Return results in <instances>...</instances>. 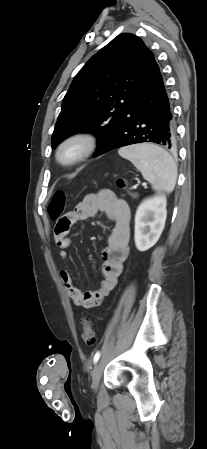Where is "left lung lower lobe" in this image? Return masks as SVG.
Segmentation results:
<instances>
[{"mask_svg": "<svg viewBox=\"0 0 207 449\" xmlns=\"http://www.w3.org/2000/svg\"><path fill=\"white\" fill-rule=\"evenodd\" d=\"M176 147L173 108L167 87L156 64L119 129L96 155L137 143Z\"/></svg>", "mask_w": 207, "mask_h": 449, "instance_id": "1", "label": "left lung lower lobe"}]
</instances>
